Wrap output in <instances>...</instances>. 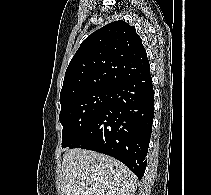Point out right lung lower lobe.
I'll list each match as a JSON object with an SVG mask.
<instances>
[{
	"label": "right lung lower lobe",
	"instance_id": "right-lung-lower-lobe-1",
	"mask_svg": "<svg viewBox=\"0 0 211 195\" xmlns=\"http://www.w3.org/2000/svg\"><path fill=\"white\" fill-rule=\"evenodd\" d=\"M154 116L150 71L110 88L106 107L69 148L110 155L139 179L144 175Z\"/></svg>",
	"mask_w": 211,
	"mask_h": 195
}]
</instances>
